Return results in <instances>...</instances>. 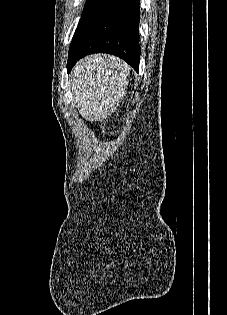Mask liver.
<instances>
[{
    "instance_id": "obj_1",
    "label": "liver",
    "mask_w": 227,
    "mask_h": 315,
    "mask_svg": "<svg viewBox=\"0 0 227 315\" xmlns=\"http://www.w3.org/2000/svg\"><path fill=\"white\" fill-rule=\"evenodd\" d=\"M94 57L102 58V56H101V55H97V56H94Z\"/></svg>"
}]
</instances>
